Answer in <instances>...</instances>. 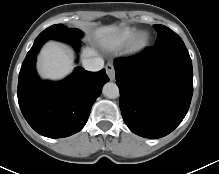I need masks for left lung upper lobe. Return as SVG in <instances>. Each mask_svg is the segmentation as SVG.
Wrapping results in <instances>:
<instances>
[{"label":"left lung upper lobe","mask_w":219,"mask_h":174,"mask_svg":"<svg viewBox=\"0 0 219 174\" xmlns=\"http://www.w3.org/2000/svg\"><path fill=\"white\" fill-rule=\"evenodd\" d=\"M154 27L158 32L155 45H162L166 43H184L182 39L168 27L164 25H154Z\"/></svg>","instance_id":"1"}]
</instances>
